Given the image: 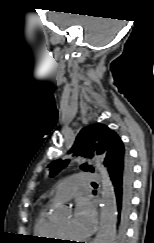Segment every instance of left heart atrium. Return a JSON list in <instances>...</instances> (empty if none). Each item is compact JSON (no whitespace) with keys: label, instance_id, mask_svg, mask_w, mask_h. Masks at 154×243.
Masks as SVG:
<instances>
[{"label":"left heart atrium","instance_id":"39dd6f15","mask_svg":"<svg viewBox=\"0 0 154 243\" xmlns=\"http://www.w3.org/2000/svg\"><path fill=\"white\" fill-rule=\"evenodd\" d=\"M72 225L82 236L92 233L96 225V213L89 202L78 203L72 218Z\"/></svg>","mask_w":154,"mask_h":243}]
</instances>
